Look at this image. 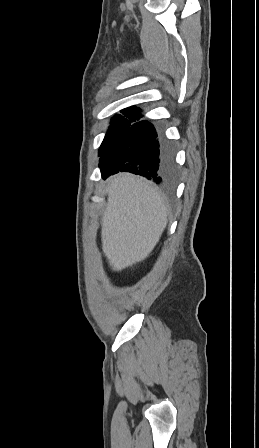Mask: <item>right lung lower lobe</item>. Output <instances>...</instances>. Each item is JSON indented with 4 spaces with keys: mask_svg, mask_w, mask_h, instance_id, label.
<instances>
[{
    "mask_svg": "<svg viewBox=\"0 0 259 448\" xmlns=\"http://www.w3.org/2000/svg\"><path fill=\"white\" fill-rule=\"evenodd\" d=\"M99 167L103 179L126 171L168 183L175 176L174 147L160 143L154 125L142 120L132 124L104 151Z\"/></svg>",
    "mask_w": 259,
    "mask_h": 448,
    "instance_id": "98d812e1",
    "label": "right lung lower lobe"
}]
</instances>
